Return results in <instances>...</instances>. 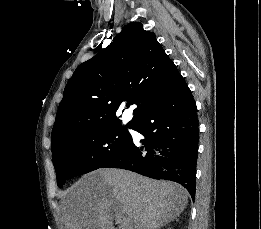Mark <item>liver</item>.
I'll list each match as a JSON object with an SVG mask.
<instances>
[{"instance_id": "obj_1", "label": "liver", "mask_w": 261, "mask_h": 229, "mask_svg": "<svg viewBox=\"0 0 261 229\" xmlns=\"http://www.w3.org/2000/svg\"><path fill=\"white\" fill-rule=\"evenodd\" d=\"M66 229H161L188 203L184 187L123 169H97L76 181L62 199Z\"/></svg>"}]
</instances>
